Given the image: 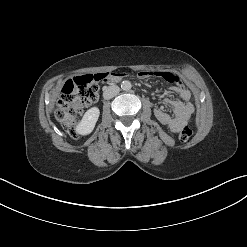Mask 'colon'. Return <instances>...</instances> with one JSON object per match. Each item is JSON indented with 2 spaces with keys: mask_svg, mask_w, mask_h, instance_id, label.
<instances>
[{
  "mask_svg": "<svg viewBox=\"0 0 247 247\" xmlns=\"http://www.w3.org/2000/svg\"><path fill=\"white\" fill-rule=\"evenodd\" d=\"M110 75L111 74L108 73H99L95 75L77 76L68 80L63 85L55 115L71 137H79L76 132L77 117L83 107L97 100L99 95V83L106 81ZM192 134V129L188 126H184L179 133V139L182 142H186Z\"/></svg>",
  "mask_w": 247,
  "mask_h": 247,
  "instance_id": "colon-1",
  "label": "colon"
}]
</instances>
